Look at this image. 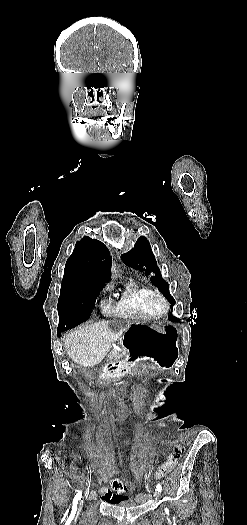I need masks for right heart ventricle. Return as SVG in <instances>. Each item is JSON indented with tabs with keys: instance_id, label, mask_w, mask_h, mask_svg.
Masks as SVG:
<instances>
[{
	"instance_id": "right-heart-ventricle-1",
	"label": "right heart ventricle",
	"mask_w": 247,
	"mask_h": 525,
	"mask_svg": "<svg viewBox=\"0 0 247 525\" xmlns=\"http://www.w3.org/2000/svg\"><path fill=\"white\" fill-rule=\"evenodd\" d=\"M144 288L130 284L124 295L123 303L118 307L105 305L104 313L111 317H151L147 311V300L142 290Z\"/></svg>"
}]
</instances>
